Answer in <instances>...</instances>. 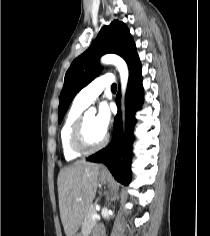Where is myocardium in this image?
I'll list each match as a JSON object with an SVG mask.
<instances>
[{
    "label": "myocardium",
    "instance_id": "f54148a6",
    "mask_svg": "<svg viewBox=\"0 0 210 236\" xmlns=\"http://www.w3.org/2000/svg\"><path fill=\"white\" fill-rule=\"evenodd\" d=\"M87 113H82L73 125L71 136H70V146L73 151L80 154H89L103 148L108 142V135L104 133L102 140L91 145L86 139L85 121Z\"/></svg>",
    "mask_w": 210,
    "mask_h": 236
}]
</instances>
